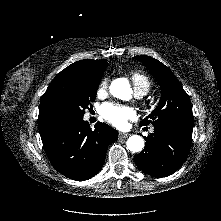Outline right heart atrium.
<instances>
[{
  "label": "right heart atrium",
  "mask_w": 221,
  "mask_h": 221,
  "mask_svg": "<svg viewBox=\"0 0 221 221\" xmlns=\"http://www.w3.org/2000/svg\"><path fill=\"white\" fill-rule=\"evenodd\" d=\"M108 86H109V79L107 77H104L99 84V91L103 92L107 90Z\"/></svg>",
  "instance_id": "d8ad5b80"
}]
</instances>
